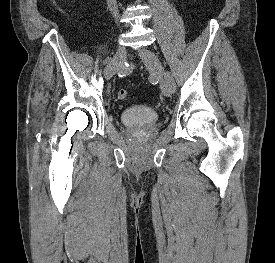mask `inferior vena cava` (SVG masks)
Returning <instances> with one entry per match:
<instances>
[{"mask_svg": "<svg viewBox=\"0 0 275 263\" xmlns=\"http://www.w3.org/2000/svg\"><path fill=\"white\" fill-rule=\"evenodd\" d=\"M106 1H107L109 10L114 15V17L117 19L118 18V7H117L116 0H106Z\"/></svg>", "mask_w": 275, "mask_h": 263, "instance_id": "602c4592", "label": "inferior vena cava"}]
</instances>
